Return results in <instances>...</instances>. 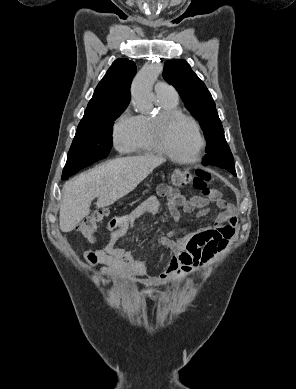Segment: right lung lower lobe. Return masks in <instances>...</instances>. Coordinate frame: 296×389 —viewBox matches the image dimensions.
I'll return each instance as SVG.
<instances>
[{"label":"right lung lower lobe","instance_id":"right-lung-lower-lobe-1","mask_svg":"<svg viewBox=\"0 0 296 389\" xmlns=\"http://www.w3.org/2000/svg\"><path fill=\"white\" fill-rule=\"evenodd\" d=\"M76 172H74V171H72V172H69V173H63L62 174V179L63 180H66V179H68L71 175H73V174H75Z\"/></svg>","mask_w":296,"mask_h":389}]
</instances>
